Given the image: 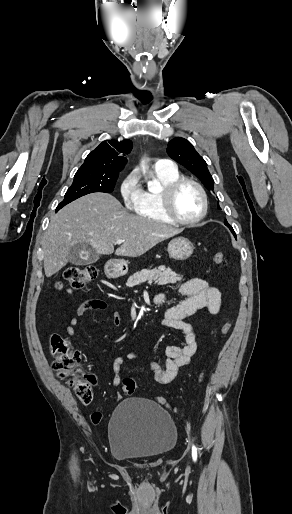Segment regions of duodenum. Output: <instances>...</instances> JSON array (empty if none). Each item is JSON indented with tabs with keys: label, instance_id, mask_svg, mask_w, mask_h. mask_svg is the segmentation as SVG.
I'll return each mask as SVG.
<instances>
[{
	"label": "duodenum",
	"instance_id": "obj_1",
	"mask_svg": "<svg viewBox=\"0 0 292 514\" xmlns=\"http://www.w3.org/2000/svg\"><path fill=\"white\" fill-rule=\"evenodd\" d=\"M156 302L159 304H163L165 302V298L162 295L156 297Z\"/></svg>",
	"mask_w": 292,
	"mask_h": 514
}]
</instances>
